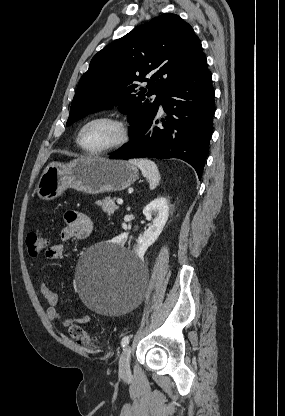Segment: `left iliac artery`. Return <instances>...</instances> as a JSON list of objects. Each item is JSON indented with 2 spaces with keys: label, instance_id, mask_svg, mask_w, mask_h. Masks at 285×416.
<instances>
[{
  "label": "left iliac artery",
  "instance_id": "obj_1",
  "mask_svg": "<svg viewBox=\"0 0 285 416\" xmlns=\"http://www.w3.org/2000/svg\"><path fill=\"white\" fill-rule=\"evenodd\" d=\"M129 340H130V337H129V336H125V337L122 339V341H121V345H122V347H123V348H124V347H126V346L128 345Z\"/></svg>",
  "mask_w": 285,
  "mask_h": 416
}]
</instances>
